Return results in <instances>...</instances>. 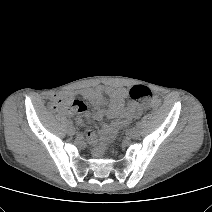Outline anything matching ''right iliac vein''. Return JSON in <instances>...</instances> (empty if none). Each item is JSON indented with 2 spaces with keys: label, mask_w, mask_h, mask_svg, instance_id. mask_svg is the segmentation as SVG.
Wrapping results in <instances>:
<instances>
[{
  "label": "right iliac vein",
  "mask_w": 212,
  "mask_h": 212,
  "mask_svg": "<svg viewBox=\"0 0 212 212\" xmlns=\"http://www.w3.org/2000/svg\"><path fill=\"white\" fill-rule=\"evenodd\" d=\"M68 134H69V135H74V134H75V129H74L73 127L70 126V127L68 128Z\"/></svg>",
  "instance_id": "1"
}]
</instances>
